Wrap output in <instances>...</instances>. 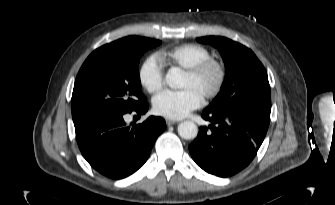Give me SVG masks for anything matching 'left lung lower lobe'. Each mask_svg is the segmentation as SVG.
I'll use <instances>...</instances> for the list:
<instances>
[{
    "label": "left lung lower lobe",
    "mask_w": 335,
    "mask_h": 205,
    "mask_svg": "<svg viewBox=\"0 0 335 205\" xmlns=\"http://www.w3.org/2000/svg\"><path fill=\"white\" fill-rule=\"evenodd\" d=\"M210 122L201 127L189 146L193 160L206 172L228 177L245 168L255 157L268 130L270 117L245 110H204Z\"/></svg>",
    "instance_id": "left-lung-lower-lobe-1"
}]
</instances>
